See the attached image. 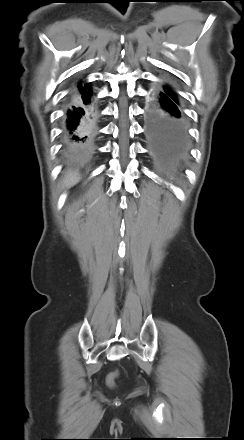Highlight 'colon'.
<instances>
[{"mask_svg":"<svg viewBox=\"0 0 244 440\" xmlns=\"http://www.w3.org/2000/svg\"><path fill=\"white\" fill-rule=\"evenodd\" d=\"M117 376H118L117 372H113V373L108 375V377H107V384L110 387H114L115 386V381H116Z\"/></svg>","mask_w":244,"mask_h":440,"instance_id":"5ec220e1","label":"colon"}]
</instances>
